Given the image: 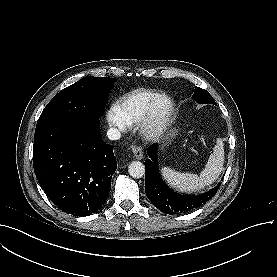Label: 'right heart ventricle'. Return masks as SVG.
Returning <instances> with one entry per match:
<instances>
[{
    "instance_id": "1",
    "label": "right heart ventricle",
    "mask_w": 277,
    "mask_h": 277,
    "mask_svg": "<svg viewBox=\"0 0 277 277\" xmlns=\"http://www.w3.org/2000/svg\"><path fill=\"white\" fill-rule=\"evenodd\" d=\"M155 96L154 91L137 89L119 99L115 107L127 125H135L143 120L147 108Z\"/></svg>"
}]
</instances>
